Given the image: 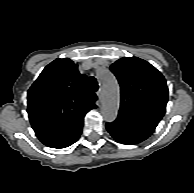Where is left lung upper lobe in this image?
Wrapping results in <instances>:
<instances>
[{"label":"left lung upper lobe","instance_id":"1","mask_svg":"<svg viewBox=\"0 0 194 193\" xmlns=\"http://www.w3.org/2000/svg\"><path fill=\"white\" fill-rule=\"evenodd\" d=\"M121 88L118 115L157 126L166 111L168 88L163 75L137 57H124L110 66Z\"/></svg>","mask_w":194,"mask_h":193}]
</instances>
